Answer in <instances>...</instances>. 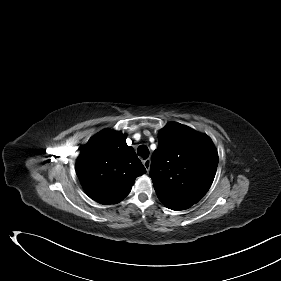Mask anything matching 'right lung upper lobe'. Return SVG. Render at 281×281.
I'll return each mask as SVG.
<instances>
[{"label":"right lung upper lobe","instance_id":"obj_1","mask_svg":"<svg viewBox=\"0 0 281 281\" xmlns=\"http://www.w3.org/2000/svg\"><path fill=\"white\" fill-rule=\"evenodd\" d=\"M77 176L87 195L100 204L120 202L131 191L135 178L146 169L126 135L103 130L83 147L76 163Z\"/></svg>","mask_w":281,"mask_h":281}]
</instances>
